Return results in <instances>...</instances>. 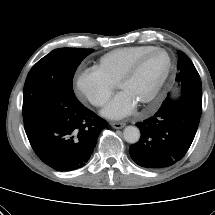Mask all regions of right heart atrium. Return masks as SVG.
Instances as JSON below:
<instances>
[{
    "mask_svg": "<svg viewBox=\"0 0 215 215\" xmlns=\"http://www.w3.org/2000/svg\"><path fill=\"white\" fill-rule=\"evenodd\" d=\"M77 96L95 107L103 106L110 98L114 84L94 67L80 70L74 77Z\"/></svg>",
    "mask_w": 215,
    "mask_h": 215,
    "instance_id": "obj_1",
    "label": "right heart atrium"
}]
</instances>
